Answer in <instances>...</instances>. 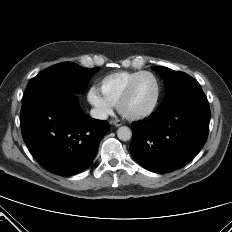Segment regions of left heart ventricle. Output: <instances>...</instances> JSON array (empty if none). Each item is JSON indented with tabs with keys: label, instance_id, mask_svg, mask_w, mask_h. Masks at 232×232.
Listing matches in <instances>:
<instances>
[{
	"label": "left heart ventricle",
	"instance_id": "1",
	"mask_svg": "<svg viewBox=\"0 0 232 232\" xmlns=\"http://www.w3.org/2000/svg\"><path fill=\"white\" fill-rule=\"evenodd\" d=\"M157 86L151 76L144 75L138 79L130 99L123 109L126 113L136 114L148 109L156 97Z\"/></svg>",
	"mask_w": 232,
	"mask_h": 232
}]
</instances>
